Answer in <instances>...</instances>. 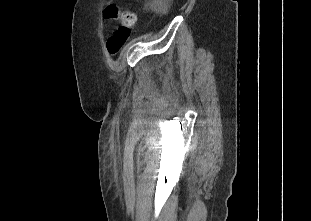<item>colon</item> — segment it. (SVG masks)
<instances>
[{
  "instance_id": "obj_1",
  "label": "colon",
  "mask_w": 311,
  "mask_h": 221,
  "mask_svg": "<svg viewBox=\"0 0 311 221\" xmlns=\"http://www.w3.org/2000/svg\"><path fill=\"white\" fill-rule=\"evenodd\" d=\"M103 16L107 17L108 20H118L120 17L121 22H132V19L136 18V14L133 12H121V7L119 6V3L116 2V0H107L105 10L103 11ZM132 24L134 23L132 22ZM130 31L131 29H121L120 33L112 32V34L108 37L106 42V49L111 56L118 54L125 46L129 38Z\"/></svg>"
}]
</instances>
